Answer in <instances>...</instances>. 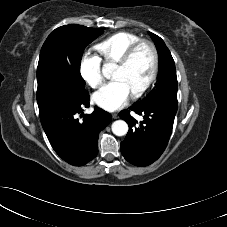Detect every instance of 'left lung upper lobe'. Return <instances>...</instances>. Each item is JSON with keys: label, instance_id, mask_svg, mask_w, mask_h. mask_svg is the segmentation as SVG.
<instances>
[{"label": "left lung upper lobe", "instance_id": "left-lung-upper-lobe-1", "mask_svg": "<svg viewBox=\"0 0 227 227\" xmlns=\"http://www.w3.org/2000/svg\"><path fill=\"white\" fill-rule=\"evenodd\" d=\"M149 34L156 45L159 56V75L157 83L149 94L142 101L134 105L143 106L150 102L161 101L173 106H178L177 76L172 55L159 36L151 32H149Z\"/></svg>", "mask_w": 227, "mask_h": 227}]
</instances>
